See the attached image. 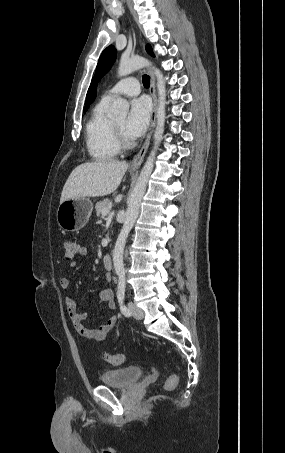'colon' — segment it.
<instances>
[{
  "label": "colon",
  "instance_id": "obj_1",
  "mask_svg": "<svg viewBox=\"0 0 285 453\" xmlns=\"http://www.w3.org/2000/svg\"><path fill=\"white\" fill-rule=\"evenodd\" d=\"M64 258L67 261H72L77 255H79L80 246L73 238H66L63 241ZM103 359L111 365H121L124 362V356L120 353L115 354H103ZM178 383L177 375L172 372L169 374L165 388L171 390L176 387Z\"/></svg>",
  "mask_w": 285,
  "mask_h": 453
}]
</instances>
